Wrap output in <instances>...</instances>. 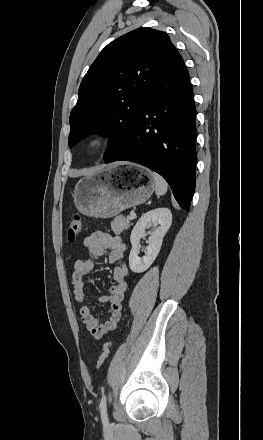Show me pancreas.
Here are the masks:
<instances>
[{"instance_id": "obj_1", "label": "pancreas", "mask_w": 263, "mask_h": 440, "mask_svg": "<svg viewBox=\"0 0 263 440\" xmlns=\"http://www.w3.org/2000/svg\"><path fill=\"white\" fill-rule=\"evenodd\" d=\"M131 223L128 218H125L123 215L117 216L111 222V229L117 235L121 234L124 230L130 227Z\"/></svg>"}]
</instances>
